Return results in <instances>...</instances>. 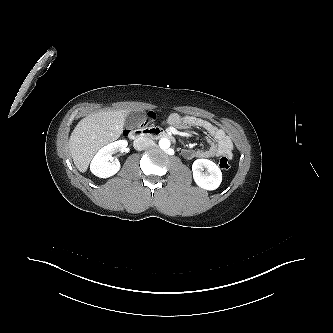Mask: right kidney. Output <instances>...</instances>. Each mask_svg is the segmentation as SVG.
Listing matches in <instances>:
<instances>
[{
  "mask_svg": "<svg viewBox=\"0 0 333 333\" xmlns=\"http://www.w3.org/2000/svg\"><path fill=\"white\" fill-rule=\"evenodd\" d=\"M127 145L126 140H118L101 148L91 161V172L100 178H108L116 174L121 165L119 160L114 159L112 155L117 151L125 152Z\"/></svg>",
  "mask_w": 333,
  "mask_h": 333,
  "instance_id": "obj_1",
  "label": "right kidney"
}]
</instances>
